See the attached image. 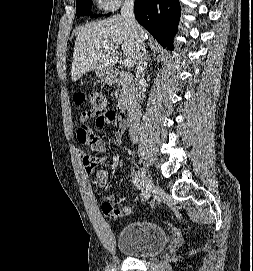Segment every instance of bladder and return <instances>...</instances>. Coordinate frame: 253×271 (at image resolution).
Here are the masks:
<instances>
[{
	"instance_id": "bladder-1",
	"label": "bladder",
	"mask_w": 253,
	"mask_h": 271,
	"mask_svg": "<svg viewBox=\"0 0 253 271\" xmlns=\"http://www.w3.org/2000/svg\"><path fill=\"white\" fill-rule=\"evenodd\" d=\"M169 242L165 228L155 222L137 221L125 225L116 238L117 248L130 257H150L163 251Z\"/></svg>"
}]
</instances>
